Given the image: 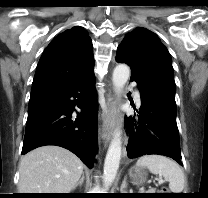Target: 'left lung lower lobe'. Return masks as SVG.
I'll list each match as a JSON object with an SVG mask.
<instances>
[{
	"label": "left lung lower lobe",
	"mask_w": 208,
	"mask_h": 198,
	"mask_svg": "<svg viewBox=\"0 0 208 198\" xmlns=\"http://www.w3.org/2000/svg\"><path fill=\"white\" fill-rule=\"evenodd\" d=\"M116 61L126 63L124 56L119 53L116 54ZM130 80L136 81L132 75ZM137 84L141 96L139 115L125 119L130 134L128 157L159 154L181 164L176 107L147 87Z\"/></svg>",
	"instance_id": "obj_1"
}]
</instances>
